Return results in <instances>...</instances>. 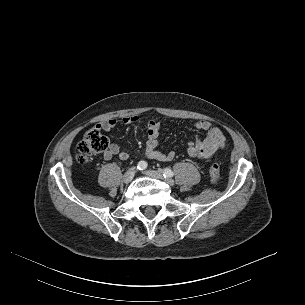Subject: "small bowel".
Masks as SVG:
<instances>
[{"mask_svg":"<svg viewBox=\"0 0 305 305\" xmlns=\"http://www.w3.org/2000/svg\"><path fill=\"white\" fill-rule=\"evenodd\" d=\"M139 121V117L131 116L123 119L124 124H134ZM117 125L114 118L100 122L96 127L103 131H109ZM195 128L206 132L205 138L195 137L188 142L187 153L190 157L205 160L212 157L217 151L223 149L226 145V138L222 130L207 120H199L194 124ZM161 125L154 119L147 122V142L145 155L148 159L158 161H171L175 158V151L162 152L158 149L159 135ZM117 156L121 160H127L129 152L122 148L118 143H112L108 150L103 153L105 160H110Z\"/></svg>","mask_w":305,"mask_h":305,"instance_id":"c3829d8e","label":"small bowel"}]
</instances>
